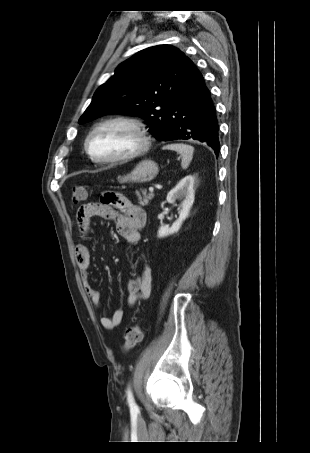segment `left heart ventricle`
Instances as JSON below:
<instances>
[{
	"label": "left heart ventricle",
	"mask_w": 310,
	"mask_h": 453,
	"mask_svg": "<svg viewBox=\"0 0 310 453\" xmlns=\"http://www.w3.org/2000/svg\"><path fill=\"white\" fill-rule=\"evenodd\" d=\"M139 145L135 131L126 124H111L97 131L90 141L92 152L105 158L128 154Z\"/></svg>",
	"instance_id": "1"
}]
</instances>
